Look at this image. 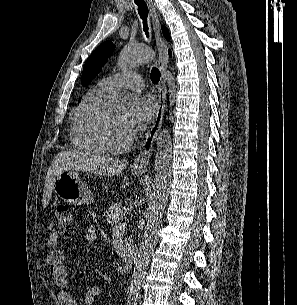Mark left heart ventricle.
I'll list each match as a JSON object with an SVG mask.
<instances>
[{
	"label": "left heart ventricle",
	"instance_id": "1",
	"mask_svg": "<svg viewBox=\"0 0 297 305\" xmlns=\"http://www.w3.org/2000/svg\"><path fill=\"white\" fill-rule=\"evenodd\" d=\"M109 119H110V127L112 132V137L115 142L117 143H123L130 139L128 134L125 132L122 120L124 117L123 112L118 111H110L109 113Z\"/></svg>",
	"mask_w": 297,
	"mask_h": 305
}]
</instances>
